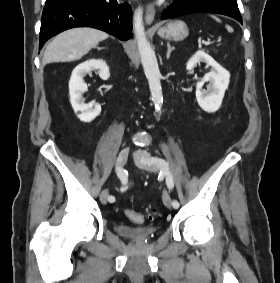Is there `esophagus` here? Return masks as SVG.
<instances>
[{
	"label": "esophagus",
	"instance_id": "34e87169",
	"mask_svg": "<svg viewBox=\"0 0 280 283\" xmlns=\"http://www.w3.org/2000/svg\"><path fill=\"white\" fill-rule=\"evenodd\" d=\"M155 17V9L153 4H149L146 8L145 21L147 24H151Z\"/></svg>",
	"mask_w": 280,
	"mask_h": 283
}]
</instances>
